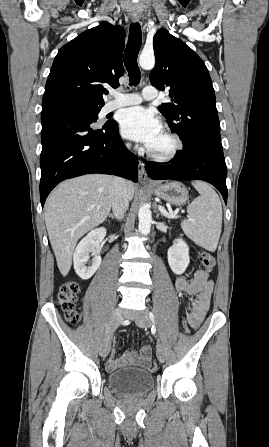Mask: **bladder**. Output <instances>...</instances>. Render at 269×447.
I'll list each match as a JSON object with an SVG mask.
<instances>
[{
	"instance_id": "obj_1",
	"label": "bladder",
	"mask_w": 269,
	"mask_h": 447,
	"mask_svg": "<svg viewBox=\"0 0 269 447\" xmlns=\"http://www.w3.org/2000/svg\"><path fill=\"white\" fill-rule=\"evenodd\" d=\"M107 384L122 397H142L154 388V374L140 368H122L108 374Z\"/></svg>"
}]
</instances>
